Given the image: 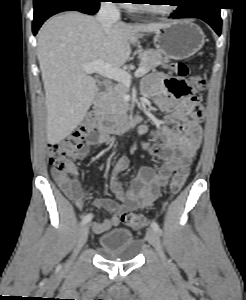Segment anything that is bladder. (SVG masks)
<instances>
[{
	"label": "bladder",
	"mask_w": 246,
	"mask_h": 300,
	"mask_svg": "<svg viewBox=\"0 0 246 300\" xmlns=\"http://www.w3.org/2000/svg\"><path fill=\"white\" fill-rule=\"evenodd\" d=\"M98 247L107 257L131 261L139 255L141 243L134 238L130 230L118 227L102 233Z\"/></svg>",
	"instance_id": "obj_1"
}]
</instances>
